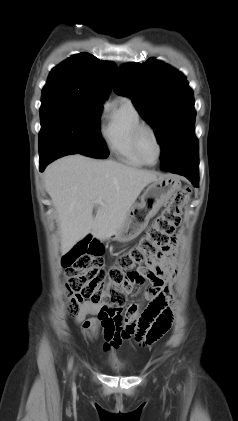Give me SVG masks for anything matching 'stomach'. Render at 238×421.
<instances>
[{
    "instance_id": "stomach-1",
    "label": "stomach",
    "mask_w": 238,
    "mask_h": 421,
    "mask_svg": "<svg viewBox=\"0 0 238 421\" xmlns=\"http://www.w3.org/2000/svg\"><path fill=\"white\" fill-rule=\"evenodd\" d=\"M180 181L173 176L165 175L153 181L141 196V201L131 207L122 225L113 235L121 242L136 238L148 225L161 206L168 203L179 190Z\"/></svg>"
}]
</instances>
